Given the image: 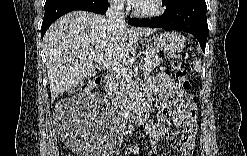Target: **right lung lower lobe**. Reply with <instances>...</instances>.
Masks as SVG:
<instances>
[{
    "mask_svg": "<svg viewBox=\"0 0 247 156\" xmlns=\"http://www.w3.org/2000/svg\"><path fill=\"white\" fill-rule=\"evenodd\" d=\"M108 5V0H47L41 27V36L43 38L49 26L60 16L68 12L84 10L104 14L108 9Z\"/></svg>",
    "mask_w": 247,
    "mask_h": 156,
    "instance_id": "1",
    "label": "right lung lower lobe"
}]
</instances>
